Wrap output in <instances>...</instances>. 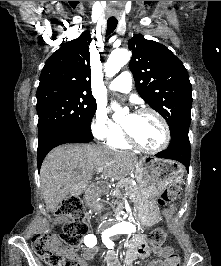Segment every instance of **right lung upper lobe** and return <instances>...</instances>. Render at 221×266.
I'll list each match as a JSON object with an SVG mask.
<instances>
[{
    "instance_id": "1",
    "label": "right lung upper lobe",
    "mask_w": 221,
    "mask_h": 266,
    "mask_svg": "<svg viewBox=\"0 0 221 266\" xmlns=\"http://www.w3.org/2000/svg\"><path fill=\"white\" fill-rule=\"evenodd\" d=\"M89 31L63 44L45 62L37 90L60 88L92 95L90 81Z\"/></svg>"
}]
</instances>
